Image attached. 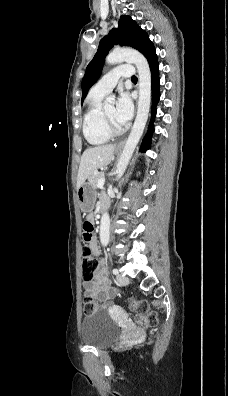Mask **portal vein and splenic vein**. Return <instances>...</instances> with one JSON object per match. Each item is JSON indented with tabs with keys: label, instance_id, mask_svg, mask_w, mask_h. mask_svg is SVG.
Masks as SVG:
<instances>
[{
	"label": "portal vein and splenic vein",
	"instance_id": "1",
	"mask_svg": "<svg viewBox=\"0 0 228 396\" xmlns=\"http://www.w3.org/2000/svg\"><path fill=\"white\" fill-rule=\"evenodd\" d=\"M105 183V177L103 175V177L98 181L97 187L101 188Z\"/></svg>",
	"mask_w": 228,
	"mask_h": 396
}]
</instances>
